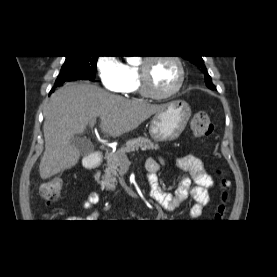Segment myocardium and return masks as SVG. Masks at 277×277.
Here are the masks:
<instances>
[{
	"label": "myocardium",
	"instance_id": "obj_1",
	"mask_svg": "<svg viewBox=\"0 0 277 277\" xmlns=\"http://www.w3.org/2000/svg\"><path fill=\"white\" fill-rule=\"evenodd\" d=\"M169 60L171 61L178 70V80L175 86L168 92L165 93H156L154 92L149 85V67L150 65L157 60ZM139 72V88L141 93L149 98L156 100L168 99L175 94H177L183 87L185 81V68L181 59L175 55H159L146 57L143 63L138 67Z\"/></svg>",
	"mask_w": 277,
	"mask_h": 277
}]
</instances>
